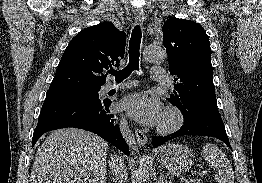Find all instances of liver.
<instances>
[{"label":"liver","instance_id":"obj_1","mask_svg":"<svg viewBox=\"0 0 262 183\" xmlns=\"http://www.w3.org/2000/svg\"><path fill=\"white\" fill-rule=\"evenodd\" d=\"M108 143L76 128L52 132L38 148L30 183H106Z\"/></svg>","mask_w":262,"mask_h":183}]
</instances>
